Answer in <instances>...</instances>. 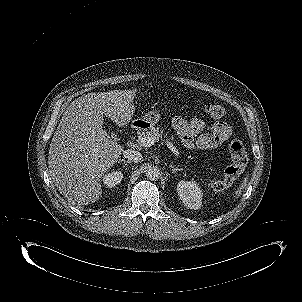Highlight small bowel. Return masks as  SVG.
Returning a JSON list of instances; mask_svg holds the SVG:
<instances>
[{
	"mask_svg": "<svg viewBox=\"0 0 302 302\" xmlns=\"http://www.w3.org/2000/svg\"><path fill=\"white\" fill-rule=\"evenodd\" d=\"M172 127L187 148L208 150L225 143L232 134L231 127L224 121H216L208 132H204L205 123L201 119L185 120L176 116Z\"/></svg>",
	"mask_w": 302,
	"mask_h": 302,
	"instance_id": "1",
	"label": "small bowel"
}]
</instances>
